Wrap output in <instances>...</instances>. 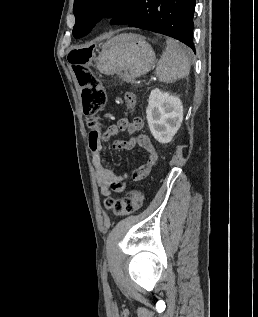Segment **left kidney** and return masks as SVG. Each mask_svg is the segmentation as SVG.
Here are the masks:
<instances>
[{
  "label": "left kidney",
  "instance_id": "obj_1",
  "mask_svg": "<svg viewBox=\"0 0 258 317\" xmlns=\"http://www.w3.org/2000/svg\"><path fill=\"white\" fill-rule=\"evenodd\" d=\"M151 134L158 142H171L183 120V104L179 96L153 88L146 108Z\"/></svg>",
  "mask_w": 258,
  "mask_h": 317
}]
</instances>
